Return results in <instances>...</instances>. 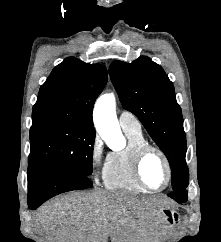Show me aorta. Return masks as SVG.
<instances>
[{
	"instance_id": "obj_1",
	"label": "aorta",
	"mask_w": 221,
	"mask_h": 242,
	"mask_svg": "<svg viewBox=\"0 0 221 242\" xmlns=\"http://www.w3.org/2000/svg\"><path fill=\"white\" fill-rule=\"evenodd\" d=\"M93 119L97 132L106 142L122 140L113 93L103 94L97 99Z\"/></svg>"
}]
</instances>
